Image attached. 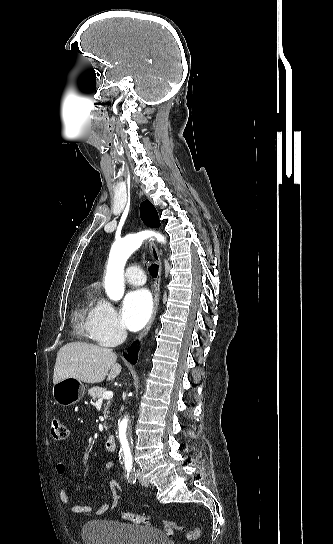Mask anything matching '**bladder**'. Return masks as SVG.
<instances>
[{
  "label": "bladder",
  "instance_id": "1",
  "mask_svg": "<svg viewBox=\"0 0 333 544\" xmlns=\"http://www.w3.org/2000/svg\"><path fill=\"white\" fill-rule=\"evenodd\" d=\"M84 544H169L168 536L153 527L112 520H90L81 530Z\"/></svg>",
  "mask_w": 333,
  "mask_h": 544
}]
</instances>
